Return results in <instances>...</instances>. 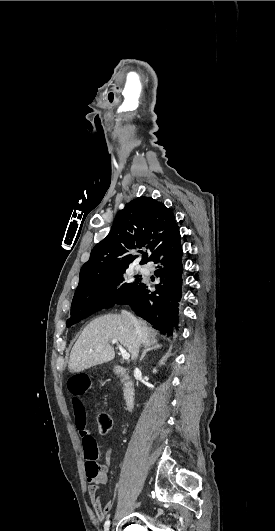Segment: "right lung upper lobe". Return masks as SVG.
Here are the masks:
<instances>
[{
    "mask_svg": "<svg viewBox=\"0 0 275 531\" xmlns=\"http://www.w3.org/2000/svg\"><path fill=\"white\" fill-rule=\"evenodd\" d=\"M177 227L172 211L151 197L127 203L116 214L109 234L96 244L82 266L77 288L98 276L128 267L137 257L129 254L134 249L149 248V258L145 254L140 262L146 263Z\"/></svg>",
    "mask_w": 275,
    "mask_h": 531,
    "instance_id": "obj_1",
    "label": "right lung upper lobe"
}]
</instances>
